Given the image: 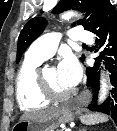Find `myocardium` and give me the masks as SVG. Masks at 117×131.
I'll use <instances>...</instances> for the list:
<instances>
[{"instance_id":"f54148a6","label":"myocardium","mask_w":117,"mask_h":131,"mask_svg":"<svg viewBox=\"0 0 117 131\" xmlns=\"http://www.w3.org/2000/svg\"><path fill=\"white\" fill-rule=\"evenodd\" d=\"M38 83L42 95L49 101H65L75 94V89H71L65 93L56 92L46 81L43 72L38 74Z\"/></svg>"}]
</instances>
